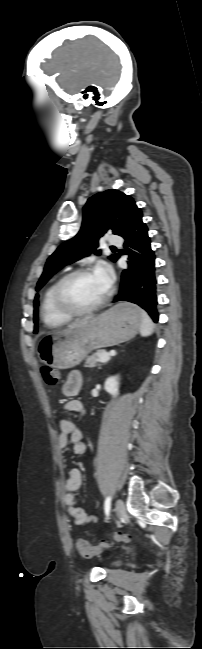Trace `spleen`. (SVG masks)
<instances>
[{
	"label": "spleen",
	"mask_w": 202,
	"mask_h": 649,
	"mask_svg": "<svg viewBox=\"0 0 202 649\" xmlns=\"http://www.w3.org/2000/svg\"><path fill=\"white\" fill-rule=\"evenodd\" d=\"M142 314V323L140 326V335L143 337L149 336L152 334L154 325L150 317L145 311L141 312Z\"/></svg>",
	"instance_id": "spleen-1"
}]
</instances>
